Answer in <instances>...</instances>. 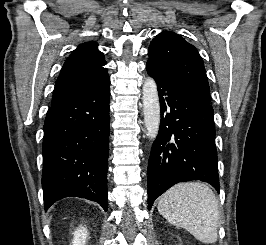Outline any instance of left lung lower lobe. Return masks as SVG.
Instances as JSON below:
<instances>
[{
  "label": "left lung lower lobe",
  "instance_id": "0a47b994",
  "mask_svg": "<svg viewBox=\"0 0 266 245\" xmlns=\"http://www.w3.org/2000/svg\"><path fill=\"white\" fill-rule=\"evenodd\" d=\"M158 87L159 132L148 161V208L171 186L200 180L219 193L214 111L210 102L147 64Z\"/></svg>",
  "mask_w": 266,
  "mask_h": 245
}]
</instances>
